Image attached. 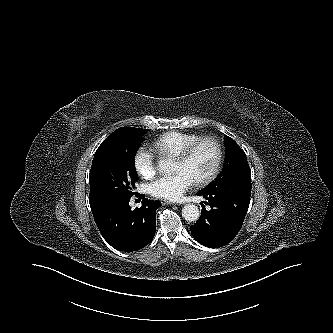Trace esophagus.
Instances as JSON below:
<instances>
[{"label": "esophagus", "instance_id": "esophagus-1", "mask_svg": "<svg viewBox=\"0 0 333 333\" xmlns=\"http://www.w3.org/2000/svg\"><path fill=\"white\" fill-rule=\"evenodd\" d=\"M161 203L163 204V205H171V204H173L172 202H170V201H168V200H166V199H161Z\"/></svg>", "mask_w": 333, "mask_h": 333}]
</instances>
